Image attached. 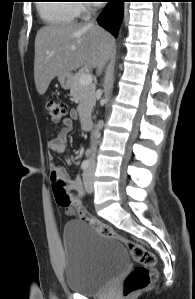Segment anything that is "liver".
<instances>
[{
    "mask_svg": "<svg viewBox=\"0 0 195 299\" xmlns=\"http://www.w3.org/2000/svg\"><path fill=\"white\" fill-rule=\"evenodd\" d=\"M113 48L112 36L94 24L62 23L42 27L35 38L34 80L43 95L59 75L82 66L101 73Z\"/></svg>",
    "mask_w": 195,
    "mask_h": 299,
    "instance_id": "obj_1",
    "label": "liver"
}]
</instances>
